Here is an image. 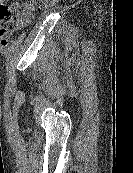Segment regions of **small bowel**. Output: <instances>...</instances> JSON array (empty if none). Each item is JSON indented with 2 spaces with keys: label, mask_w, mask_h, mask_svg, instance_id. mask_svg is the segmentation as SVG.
I'll use <instances>...</instances> for the list:
<instances>
[{
  "label": "small bowel",
  "mask_w": 133,
  "mask_h": 173,
  "mask_svg": "<svg viewBox=\"0 0 133 173\" xmlns=\"http://www.w3.org/2000/svg\"><path fill=\"white\" fill-rule=\"evenodd\" d=\"M8 0H0V2H6ZM31 19V14L28 12L22 13L17 18V25L23 26L27 24Z\"/></svg>",
  "instance_id": "obj_1"
}]
</instances>
